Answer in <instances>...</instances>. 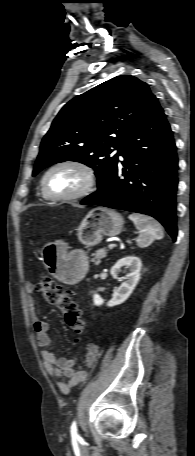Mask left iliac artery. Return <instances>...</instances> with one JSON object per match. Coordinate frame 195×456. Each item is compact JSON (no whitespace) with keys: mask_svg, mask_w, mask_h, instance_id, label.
I'll list each match as a JSON object with an SVG mask.
<instances>
[{"mask_svg":"<svg viewBox=\"0 0 195 456\" xmlns=\"http://www.w3.org/2000/svg\"><path fill=\"white\" fill-rule=\"evenodd\" d=\"M70 431H71V435H72L73 437H77V436H78V434H77V425H76V422H75V421L72 422L71 430H70Z\"/></svg>","mask_w":195,"mask_h":456,"instance_id":"left-iliac-artery-1","label":"left iliac artery"}]
</instances>
